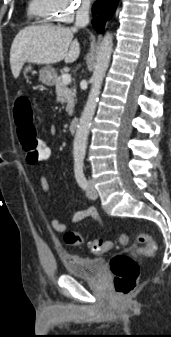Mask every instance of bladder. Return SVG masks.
I'll return each mask as SVG.
<instances>
[{
	"label": "bladder",
	"instance_id": "1",
	"mask_svg": "<svg viewBox=\"0 0 171 337\" xmlns=\"http://www.w3.org/2000/svg\"><path fill=\"white\" fill-rule=\"evenodd\" d=\"M67 274L80 278H96L103 273L105 261L102 258H89L69 253L60 255Z\"/></svg>",
	"mask_w": 171,
	"mask_h": 337
}]
</instances>
